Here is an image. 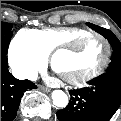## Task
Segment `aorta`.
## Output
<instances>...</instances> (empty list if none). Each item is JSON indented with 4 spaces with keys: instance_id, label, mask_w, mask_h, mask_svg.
<instances>
[{
    "instance_id": "1",
    "label": "aorta",
    "mask_w": 121,
    "mask_h": 121,
    "mask_svg": "<svg viewBox=\"0 0 121 121\" xmlns=\"http://www.w3.org/2000/svg\"><path fill=\"white\" fill-rule=\"evenodd\" d=\"M53 104L57 107L64 108L68 104L67 94L62 90H54L52 92Z\"/></svg>"
}]
</instances>
